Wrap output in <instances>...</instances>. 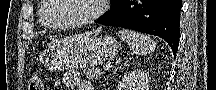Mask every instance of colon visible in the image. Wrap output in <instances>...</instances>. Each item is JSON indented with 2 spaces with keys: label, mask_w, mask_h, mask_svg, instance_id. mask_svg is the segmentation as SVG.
Listing matches in <instances>:
<instances>
[{
  "label": "colon",
  "mask_w": 216,
  "mask_h": 90,
  "mask_svg": "<svg viewBox=\"0 0 216 90\" xmlns=\"http://www.w3.org/2000/svg\"><path fill=\"white\" fill-rule=\"evenodd\" d=\"M30 90H43V83L40 77L34 76L31 78L29 83Z\"/></svg>",
  "instance_id": "colon-1"
}]
</instances>
